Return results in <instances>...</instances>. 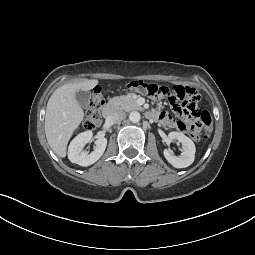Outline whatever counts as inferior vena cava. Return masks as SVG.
I'll return each mask as SVG.
<instances>
[{
	"label": "inferior vena cava",
	"mask_w": 255,
	"mask_h": 255,
	"mask_svg": "<svg viewBox=\"0 0 255 255\" xmlns=\"http://www.w3.org/2000/svg\"><path fill=\"white\" fill-rule=\"evenodd\" d=\"M126 117V113L123 111H114L107 117L109 123H117L122 121Z\"/></svg>",
	"instance_id": "inferior-vena-cava-1"
}]
</instances>
